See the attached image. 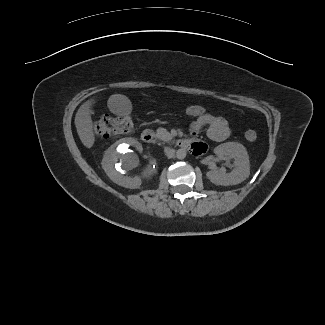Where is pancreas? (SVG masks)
<instances>
[{
  "mask_svg": "<svg viewBox=\"0 0 325 325\" xmlns=\"http://www.w3.org/2000/svg\"><path fill=\"white\" fill-rule=\"evenodd\" d=\"M156 135L159 139L165 142H169L173 138V136L164 128H158L156 130Z\"/></svg>",
  "mask_w": 325,
  "mask_h": 325,
  "instance_id": "cf45deb5",
  "label": "pancreas"
}]
</instances>
